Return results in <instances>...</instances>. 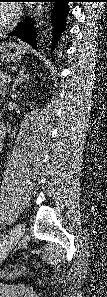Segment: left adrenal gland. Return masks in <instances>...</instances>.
I'll return each instance as SVG.
<instances>
[{"mask_svg":"<svg viewBox=\"0 0 107 297\" xmlns=\"http://www.w3.org/2000/svg\"><path fill=\"white\" fill-rule=\"evenodd\" d=\"M24 72H25V67H22V69L19 70V74H18V76L16 77V79L14 81V84L12 86V91L15 90V87L19 83H21L24 80V78H27L29 76V74H24Z\"/></svg>","mask_w":107,"mask_h":297,"instance_id":"obj_1","label":"left adrenal gland"}]
</instances>
